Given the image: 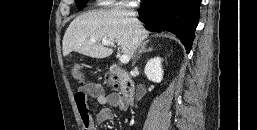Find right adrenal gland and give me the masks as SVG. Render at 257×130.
<instances>
[{"instance_id":"2a0ac1e0","label":"right adrenal gland","mask_w":257,"mask_h":130,"mask_svg":"<svg viewBox=\"0 0 257 130\" xmlns=\"http://www.w3.org/2000/svg\"><path fill=\"white\" fill-rule=\"evenodd\" d=\"M147 43H148V41H145L141 44V48L138 52V56L136 57L133 64H135L136 60L139 59V57H140L139 55H141L142 53L152 52L154 50L152 47L147 48Z\"/></svg>"}]
</instances>
